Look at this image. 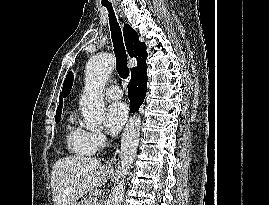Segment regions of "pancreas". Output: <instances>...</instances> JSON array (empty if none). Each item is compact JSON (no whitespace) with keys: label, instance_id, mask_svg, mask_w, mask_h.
I'll list each match as a JSON object with an SVG mask.
<instances>
[{"label":"pancreas","instance_id":"cf45deb5","mask_svg":"<svg viewBox=\"0 0 269 205\" xmlns=\"http://www.w3.org/2000/svg\"><path fill=\"white\" fill-rule=\"evenodd\" d=\"M97 197L95 195V190H91L87 198L84 199V205H95Z\"/></svg>","mask_w":269,"mask_h":205}]
</instances>
